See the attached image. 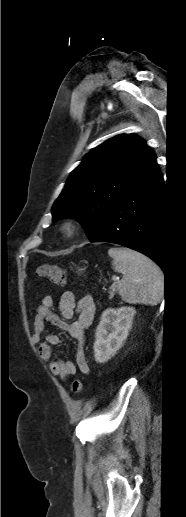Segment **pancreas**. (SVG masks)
Here are the masks:
<instances>
[{
  "instance_id": "obj_1",
  "label": "pancreas",
  "mask_w": 186,
  "mask_h": 517,
  "mask_svg": "<svg viewBox=\"0 0 186 517\" xmlns=\"http://www.w3.org/2000/svg\"><path fill=\"white\" fill-rule=\"evenodd\" d=\"M117 290V285L114 283L111 287H110V291H109V299H112L115 292Z\"/></svg>"
}]
</instances>
